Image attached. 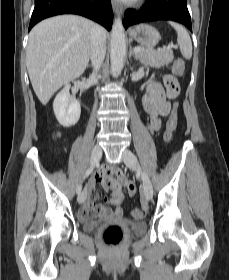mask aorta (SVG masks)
Here are the masks:
<instances>
[{"instance_id": "762f6f07", "label": "aorta", "mask_w": 229, "mask_h": 280, "mask_svg": "<svg viewBox=\"0 0 229 280\" xmlns=\"http://www.w3.org/2000/svg\"><path fill=\"white\" fill-rule=\"evenodd\" d=\"M126 55V40L122 21L115 19L111 30L110 64L114 77H117L123 68Z\"/></svg>"}]
</instances>
